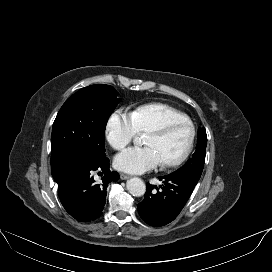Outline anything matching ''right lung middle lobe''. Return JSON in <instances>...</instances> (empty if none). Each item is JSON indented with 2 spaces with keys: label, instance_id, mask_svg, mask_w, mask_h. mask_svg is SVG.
Wrapping results in <instances>:
<instances>
[{
  "label": "right lung middle lobe",
  "instance_id": "dd1d6c3e",
  "mask_svg": "<svg viewBox=\"0 0 272 272\" xmlns=\"http://www.w3.org/2000/svg\"><path fill=\"white\" fill-rule=\"evenodd\" d=\"M118 103L116 90L104 84L81 88L65 101L52 129L53 178L79 163L106 156L105 128Z\"/></svg>",
  "mask_w": 272,
  "mask_h": 272
}]
</instances>
